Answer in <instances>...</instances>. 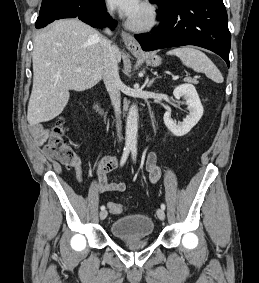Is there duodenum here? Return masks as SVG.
I'll list each match as a JSON object with an SVG mask.
<instances>
[{
	"instance_id": "410a0bca",
	"label": "duodenum",
	"mask_w": 259,
	"mask_h": 283,
	"mask_svg": "<svg viewBox=\"0 0 259 283\" xmlns=\"http://www.w3.org/2000/svg\"><path fill=\"white\" fill-rule=\"evenodd\" d=\"M94 109H95L98 113L104 115V112H103V110L101 109V107L99 106L98 103H95Z\"/></svg>"
}]
</instances>
